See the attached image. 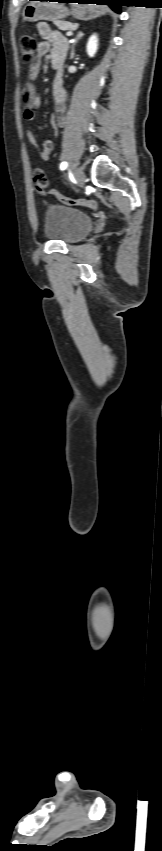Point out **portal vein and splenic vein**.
I'll return each mask as SVG.
<instances>
[{
	"instance_id": "obj_1",
	"label": "portal vein and splenic vein",
	"mask_w": 162,
	"mask_h": 851,
	"mask_svg": "<svg viewBox=\"0 0 162 851\" xmlns=\"http://www.w3.org/2000/svg\"><path fill=\"white\" fill-rule=\"evenodd\" d=\"M72 34H73V32L69 31V32L66 33V36H71Z\"/></svg>"
}]
</instances>
